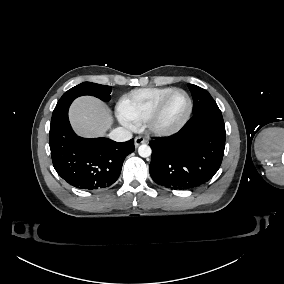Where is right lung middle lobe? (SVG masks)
Here are the masks:
<instances>
[{"label":"right lung middle lobe","instance_id":"1","mask_svg":"<svg viewBox=\"0 0 284 284\" xmlns=\"http://www.w3.org/2000/svg\"><path fill=\"white\" fill-rule=\"evenodd\" d=\"M110 93V86L84 82L65 92L58 101L57 105L67 101H73L75 98L82 95H92L101 99L102 101H109Z\"/></svg>","mask_w":284,"mask_h":284}]
</instances>
